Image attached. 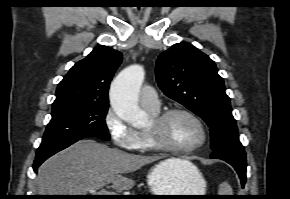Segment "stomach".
I'll return each mask as SVG.
<instances>
[{
	"instance_id": "1",
	"label": "stomach",
	"mask_w": 290,
	"mask_h": 199,
	"mask_svg": "<svg viewBox=\"0 0 290 199\" xmlns=\"http://www.w3.org/2000/svg\"><path fill=\"white\" fill-rule=\"evenodd\" d=\"M147 184L153 195H205L206 192L205 179L192 163L171 168L160 162L148 172ZM163 198L197 199L199 196Z\"/></svg>"
}]
</instances>
